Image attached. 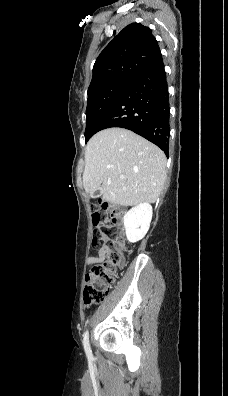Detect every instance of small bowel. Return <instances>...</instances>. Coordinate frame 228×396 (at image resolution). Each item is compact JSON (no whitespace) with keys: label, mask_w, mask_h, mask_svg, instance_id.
Here are the masks:
<instances>
[{"label":"small bowel","mask_w":228,"mask_h":396,"mask_svg":"<svg viewBox=\"0 0 228 396\" xmlns=\"http://www.w3.org/2000/svg\"><path fill=\"white\" fill-rule=\"evenodd\" d=\"M108 252V248L107 247H101L97 254L95 256H91L89 257L87 263L89 266H93V265H97L101 262H103V260L105 259L106 255Z\"/></svg>","instance_id":"obj_1"}]
</instances>
